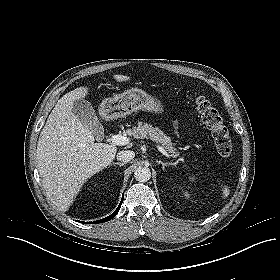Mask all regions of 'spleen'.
Returning <instances> with one entry per match:
<instances>
[{"label": "spleen", "instance_id": "3e777b00", "mask_svg": "<svg viewBox=\"0 0 280 280\" xmlns=\"http://www.w3.org/2000/svg\"><path fill=\"white\" fill-rule=\"evenodd\" d=\"M230 193L229 187L228 186H224L223 187V198H226Z\"/></svg>", "mask_w": 280, "mask_h": 280}]
</instances>
